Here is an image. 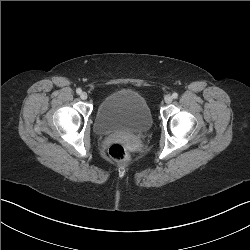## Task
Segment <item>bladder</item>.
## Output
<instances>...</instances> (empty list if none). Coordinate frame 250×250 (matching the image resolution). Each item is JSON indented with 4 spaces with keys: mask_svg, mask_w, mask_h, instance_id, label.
Listing matches in <instances>:
<instances>
[{
    "mask_svg": "<svg viewBox=\"0 0 250 250\" xmlns=\"http://www.w3.org/2000/svg\"><path fill=\"white\" fill-rule=\"evenodd\" d=\"M152 126L153 117L145 98L127 89L107 95L94 117V129L100 135L143 134Z\"/></svg>",
    "mask_w": 250,
    "mask_h": 250,
    "instance_id": "obj_1",
    "label": "bladder"
}]
</instances>
